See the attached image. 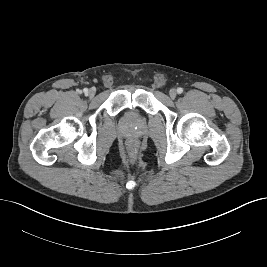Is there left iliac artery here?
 Masks as SVG:
<instances>
[{"mask_svg": "<svg viewBox=\"0 0 267 267\" xmlns=\"http://www.w3.org/2000/svg\"><path fill=\"white\" fill-rule=\"evenodd\" d=\"M177 92H178L179 94H181V93L183 92V89H182L181 87H179V88L177 89Z\"/></svg>", "mask_w": 267, "mask_h": 267, "instance_id": "44dca946", "label": "left iliac artery"}]
</instances>
